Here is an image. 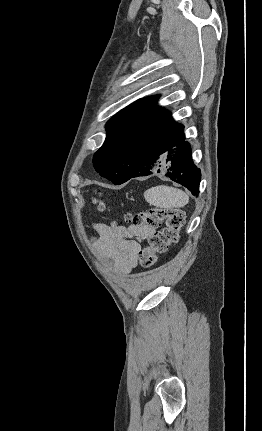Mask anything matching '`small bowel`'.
I'll list each match as a JSON object with an SVG mask.
<instances>
[{
    "instance_id": "obj_1",
    "label": "small bowel",
    "mask_w": 262,
    "mask_h": 431,
    "mask_svg": "<svg viewBox=\"0 0 262 431\" xmlns=\"http://www.w3.org/2000/svg\"><path fill=\"white\" fill-rule=\"evenodd\" d=\"M96 238L94 251L101 263L114 265L123 274H128L137 266L141 244L154 230L147 226H121L97 223L94 225Z\"/></svg>"
}]
</instances>
